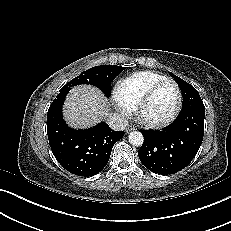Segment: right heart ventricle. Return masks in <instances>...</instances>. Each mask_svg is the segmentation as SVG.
Here are the masks:
<instances>
[{"instance_id": "1", "label": "right heart ventricle", "mask_w": 231, "mask_h": 231, "mask_svg": "<svg viewBox=\"0 0 231 231\" xmlns=\"http://www.w3.org/2000/svg\"><path fill=\"white\" fill-rule=\"evenodd\" d=\"M162 79L165 77L153 71L137 72L119 83L115 97L129 108H134L143 94Z\"/></svg>"}]
</instances>
